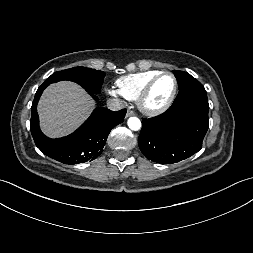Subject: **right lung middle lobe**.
I'll return each mask as SVG.
<instances>
[{
  "instance_id": "1",
  "label": "right lung middle lobe",
  "mask_w": 253,
  "mask_h": 253,
  "mask_svg": "<svg viewBox=\"0 0 253 253\" xmlns=\"http://www.w3.org/2000/svg\"><path fill=\"white\" fill-rule=\"evenodd\" d=\"M105 73L85 67H75L53 73L45 82L53 83L60 80H70L81 85L87 92L98 94L101 91Z\"/></svg>"
}]
</instances>
